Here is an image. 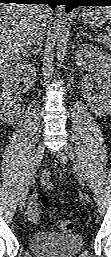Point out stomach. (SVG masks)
I'll list each match as a JSON object with an SVG mask.
<instances>
[{
	"instance_id": "0dacf381",
	"label": "stomach",
	"mask_w": 111,
	"mask_h": 257,
	"mask_svg": "<svg viewBox=\"0 0 111 257\" xmlns=\"http://www.w3.org/2000/svg\"><path fill=\"white\" fill-rule=\"evenodd\" d=\"M95 9L84 8L79 15V20L84 24H90L95 26L105 23L106 16L104 14V10L101 9L99 13H96Z\"/></svg>"
}]
</instances>
